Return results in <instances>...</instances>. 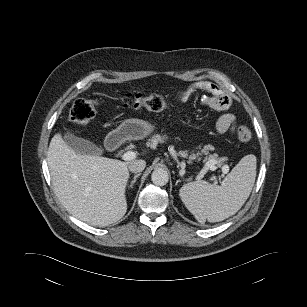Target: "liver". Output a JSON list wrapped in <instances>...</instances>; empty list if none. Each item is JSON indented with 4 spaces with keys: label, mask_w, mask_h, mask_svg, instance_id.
Returning a JSON list of instances; mask_svg holds the SVG:
<instances>
[{
    "label": "liver",
    "mask_w": 307,
    "mask_h": 307,
    "mask_svg": "<svg viewBox=\"0 0 307 307\" xmlns=\"http://www.w3.org/2000/svg\"><path fill=\"white\" fill-rule=\"evenodd\" d=\"M47 163L56 196L71 215L99 227L125 215L130 162L77 153L57 133Z\"/></svg>",
    "instance_id": "6515ba94"
}]
</instances>
